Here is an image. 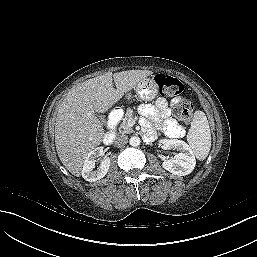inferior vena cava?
<instances>
[{
    "label": "inferior vena cava",
    "mask_w": 257,
    "mask_h": 257,
    "mask_svg": "<svg viewBox=\"0 0 257 257\" xmlns=\"http://www.w3.org/2000/svg\"><path fill=\"white\" fill-rule=\"evenodd\" d=\"M127 143H128V137L126 135H120V136L116 137V139L114 141V144L117 147H123Z\"/></svg>",
    "instance_id": "obj_1"
}]
</instances>
